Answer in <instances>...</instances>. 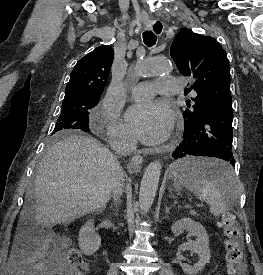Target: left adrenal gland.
Here are the masks:
<instances>
[{
	"label": "left adrenal gland",
	"instance_id": "obj_1",
	"mask_svg": "<svg viewBox=\"0 0 263 275\" xmlns=\"http://www.w3.org/2000/svg\"><path fill=\"white\" fill-rule=\"evenodd\" d=\"M170 208H171V207L165 206V213H168Z\"/></svg>",
	"mask_w": 263,
	"mask_h": 275
}]
</instances>
